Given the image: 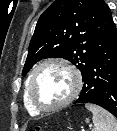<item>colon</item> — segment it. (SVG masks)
<instances>
[{
  "mask_svg": "<svg viewBox=\"0 0 117 131\" xmlns=\"http://www.w3.org/2000/svg\"><path fill=\"white\" fill-rule=\"evenodd\" d=\"M29 131H42V129L40 127H35V128H33V129L29 130Z\"/></svg>",
  "mask_w": 117,
  "mask_h": 131,
  "instance_id": "colon-1",
  "label": "colon"
}]
</instances>
